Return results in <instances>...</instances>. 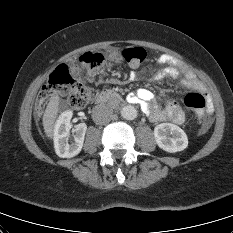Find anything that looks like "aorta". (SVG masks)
<instances>
[{
	"instance_id": "obj_1",
	"label": "aorta",
	"mask_w": 233,
	"mask_h": 233,
	"mask_svg": "<svg viewBox=\"0 0 233 233\" xmlns=\"http://www.w3.org/2000/svg\"><path fill=\"white\" fill-rule=\"evenodd\" d=\"M137 110L134 106L127 105L121 109V116L126 120H134L137 117Z\"/></svg>"
}]
</instances>
